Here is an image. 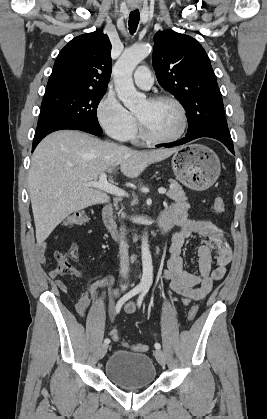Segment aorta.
<instances>
[{
  "label": "aorta",
  "instance_id": "762f6f07",
  "mask_svg": "<svg viewBox=\"0 0 267 419\" xmlns=\"http://www.w3.org/2000/svg\"><path fill=\"white\" fill-rule=\"evenodd\" d=\"M150 51L148 45L130 47L124 50L114 65L113 75L117 95L124 106L130 110L136 109L146 101V96L136 90L132 74L136 66L149 55ZM141 256L143 274L140 285L150 288L153 282V264L147 234L142 237Z\"/></svg>",
  "mask_w": 267,
  "mask_h": 419
}]
</instances>
